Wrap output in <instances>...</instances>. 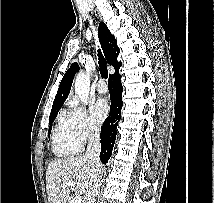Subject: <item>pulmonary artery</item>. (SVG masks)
Here are the masks:
<instances>
[{"mask_svg": "<svg viewBox=\"0 0 214 203\" xmlns=\"http://www.w3.org/2000/svg\"><path fill=\"white\" fill-rule=\"evenodd\" d=\"M96 89L99 93H105L107 91L106 83L103 80H99L96 83Z\"/></svg>", "mask_w": 214, "mask_h": 203, "instance_id": "pulmonary-artery-1", "label": "pulmonary artery"}]
</instances>
